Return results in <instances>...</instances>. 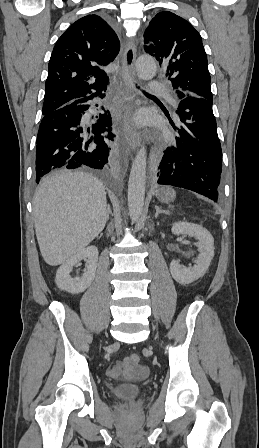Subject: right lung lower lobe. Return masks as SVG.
Instances as JSON below:
<instances>
[{"label": "right lung lower lobe", "mask_w": 259, "mask_h": 448, "mask_svg": "<svg viewBox=\"0 0 259 448\" xmlns=\"http://www.w3.org/2000/svg\"><path fill=\"white\" fill-rule=\"evenodd\" d=\"M95 97L103 99L105 94L43 114L36 140L37 183L45 174L63 166L103 169L108 165L115 137L111 132L112 118L104 107V113L88 116Z\"/></svg>", "instance_id": "obj_1"}]
</instances>
